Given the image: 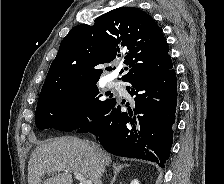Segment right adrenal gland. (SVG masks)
<instances>
[{"instance_id": "right-adrenal-gland-1", "label": "right adrenal gland", "mask_w": 224, "mask_h": 184, "mask_svg": "<svg viewBox=\"0 0 224 184\" xmlns=\"http://www.w3.org/2000/svg\"><path fill=\"white\" fill-rule=\"evenodd\" d=\"M128 166H129V164L120 165V164H117V163H113L112 167H113V170H114V176H113L110 184H113L116 181L117 175L121 171V169L124 168V167H128Z\"/></svg>"}]
</instances>
